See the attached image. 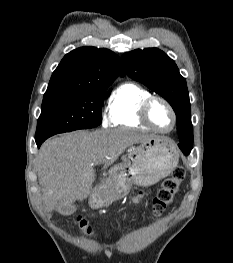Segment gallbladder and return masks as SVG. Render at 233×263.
I'll list each match as a JSON object with an SVG mask.
<instances>
[{"label": "gallbladder", "mask_w": 233, "mask_h": 263, "mask_svg": "<svg viewBox=\"0 0 233 263\" xmlns=\"http://www.w3.org/2000/svg\"><path fill=\"white\" fill-rule=\"evenodd\" d=\"M77 207L74 204L61 207L58 212L63 216H69L76 212Z\"/></svg>", "instance_id": "bac80fb5"}]
</instances>
